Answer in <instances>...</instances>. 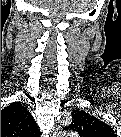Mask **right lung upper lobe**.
<instances>
[{
	"label": "right lung upper lobe",
	"mask_w": 121,
	"mask_h": 137,
	"mask_svg": "<svg viewBox=\"0 0 121 137\" xmlns=\"http://www.w3.org/2000/svg\"><path fill=\"white\" fill-rule=\"evenodd\" d=\"M36 130L31 115L19 103L1 110V135H29L36 133Z\"/></svg>",
	"instance_id": "right-lung-upper-lobe-1"
}]
</instances>
